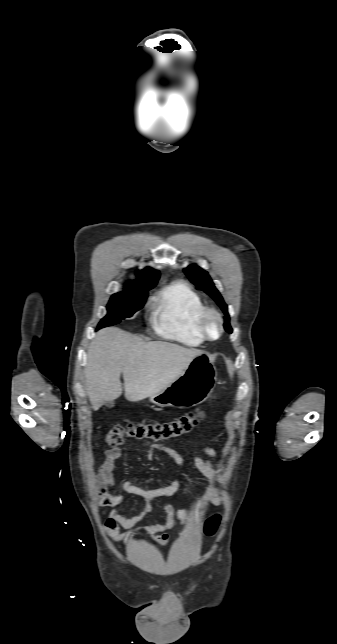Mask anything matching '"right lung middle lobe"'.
Segmentation results:
<instances>
[{
	"label": "right lung middle lobe",
	"instance_id": "1",
	"mask_svg": "<svg viewBox=\"0 0 337 644\" xmlns=\"http://www.w3.org/2000/svg\"><path fill=\"white\" fill-rule=\"evenodd\" d=\"M154 286L147 289L129 288L113 294L107 305L108 314L100 321L98 329L118 324L121 320L131 317L143 307L148 290Z\"/></svg>",
	"mask_w": 337,
	"mask_h": 644
}]
</instances>
